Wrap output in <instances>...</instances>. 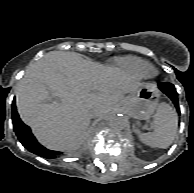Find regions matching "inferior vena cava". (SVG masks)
Masks as SVG:
<instances>
[{
    "label": "inferior vena cava",
    "mask_w": 194,
    "mask_h": 193,
    "mask_svg": "<svg viewBox=\"0 0 194 193\" xmlns=\"http://www.w3.org/2000/svg\"><path fill=\"white\" fill-rule=\"evenodd\" d=\"M88 112V118L90 120H95L99 111L97 108H90Z\"/></svg>",
    "instance_id": "inferior-vena-cava-1"
}]
</instances>
